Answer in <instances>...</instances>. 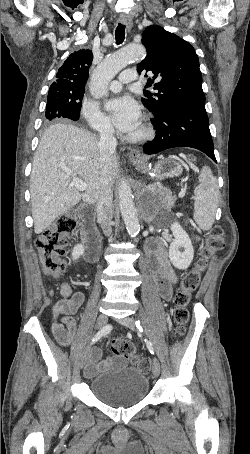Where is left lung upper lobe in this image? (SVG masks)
<instances>
[{
	"label": "left lung upper lobe",
	"instance_id": "left-lung-upper-lobe-1",
	"mask_svg": "<svg viewBox=\"0 0 250 454\" xmlns=\"http://www.w3.org/2000/svg\"><path fill=\"white\" fill-rule=\"evenodd\" d=\"M147 49L146 58L138 64L137 71H151L158 93L142 98L155 117L166 110L184 105H205L202 74L194 48L177 35L158 25L148 26L142 36Z\"/></svg>",
	"mask_w": 250,
	"mask_h": 454
}]
</instances>
